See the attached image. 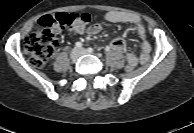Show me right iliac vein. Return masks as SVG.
<instances>
[{
	"mask_svg": "<svg viewBox=\"0 0 194 133\" xmlns=\"http://www.w3.org/2000/svg\"><path fill=\"white\" fill-rule=\"evenodd\" d=\"M80 56V52L78 49H73L70 53V59L71 61L75 62Z\"/></svg>",
	"mask_w": 194,
	"mask_h": 133,
	"instance_id": "obj_1",
	"label": "right iliac vein"
}]
</instances>
